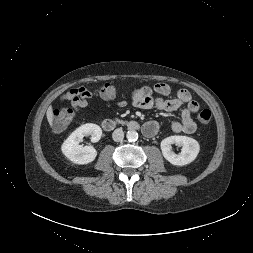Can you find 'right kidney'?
<instances>
[{"mask_svg":"<svg viewBox=\"0 0 253 253\" xmlns=\"http://www.w3.org/2000/svg\"><path fill=\"white\" fill-rule=\"evenodd\" d=\"M88 135H91V142H98L102 136V129L92 123L81 125L62 144V153L75 164L91 163L97 156L93 146L79 145L83 137Z\"/></svg>","mask_w":253,"mask_h":253,"instance_id":"1","label":"right kidney"}]
</instances>
